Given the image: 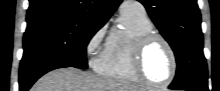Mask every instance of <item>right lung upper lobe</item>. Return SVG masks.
I'll return each mask as SVG.
<instances>
[{"label":"right lung upper lobe","instance_id":"1","mask_svg":"<svg viewBox=\"0 0 220 91\" xmlns=\"http://www.w3.org/2000/svg\"><path fill=\"white\" fill-rule=\"evenodd\" d=\"M122 0H30L26 21L56 18L84 20L103 26Z\"/></svg>","mask_w":220,"mask_h":91}]
</instances>
